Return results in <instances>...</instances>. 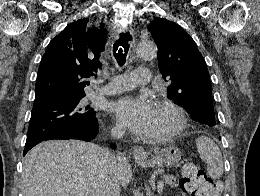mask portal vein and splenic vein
I'll use <instances>...</instances> for the list:
<instances>
[{"label":"portal vein and splenic vein","instance_id":"18ae733b","mask_svg":"<svg viewBox=\"0 0 260 196\" xmlns=\"http://www.w3.org/2000/svg\"><path fill=\"white\" fill-rule=\"evenodd\" d=\"M156 190H158V193H161V191L164 190V185L162 181L158 182V187H156Z\"/></svg>","mask_w":260,"mask_h":196}]
</instances>
